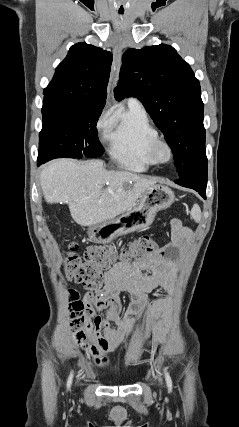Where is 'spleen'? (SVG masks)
Here are the masks:
<instances>
[{"label":"spleen","mask_w":239,"mask_h":427,"mask_svg":"<svg viewBox=\"0 0 239 427\" xmlns=\"http://www.w3.org/2000/svg\"><path fill=\"white\" fill-rule=\"evenodd\" d=\"M191 216L195 222L201 221L202 213H201V209H200L198 204L193 205V207L191 209Z\"/></svg>","instance_id":"1"}]
</instances>
